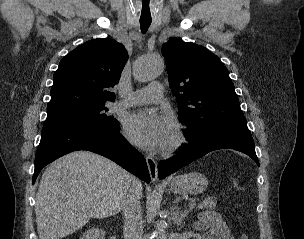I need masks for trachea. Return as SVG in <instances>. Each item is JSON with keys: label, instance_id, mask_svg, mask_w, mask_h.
I'll list each match as a JSON object with an SVG mask.
<instances>
[{"label": "trachea", "instance_id": "trachea-1", "mask_svg": "<svg viewBox=\"0 0 304 239\" xmlns=\"http://www.w3.org/2000/svg\"><path fill=\"white\" fill-rule=\"evenodd\" d=\"M151 10V0H142L140 2L139 7V20H140V26L143 33H145L153 19V12H150Z\"/></svg>", "mask_w": 304, "mask_h": 239}]
</instances>
